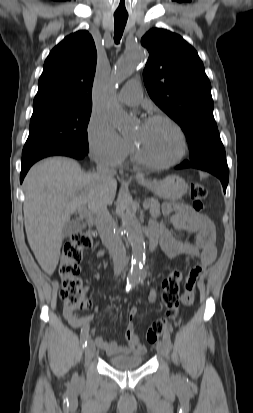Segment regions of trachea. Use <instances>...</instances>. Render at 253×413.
<instances>
[{"instance_id":"trachea-1","label":"trachea","mask_w":253,"mask_h":413,"mask_svg":"<svg viewBox=\"0 0 253 413\" xmlns=\"http://www.w3.org/2000/svg\"><path fill=\"white\" fill-rule=\"evenodd\" d=\"M128 19V14H114V40L116 44H119L120 39L123 35V31Z\"/></svg>"}]
</instances>
